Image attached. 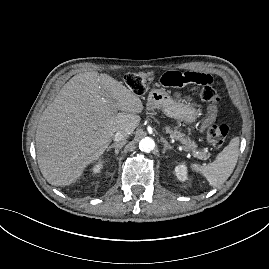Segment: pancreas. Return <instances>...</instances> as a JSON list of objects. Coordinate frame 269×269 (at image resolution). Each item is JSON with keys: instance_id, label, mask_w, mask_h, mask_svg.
<instances>
[{"instance_id": "obj_1", "label": "pancreas", "mask_w": 269, "mask_h": 269, "mask_svg": "<svg viewBox=\"0 0 269 269\" xmlns=\"http://www.w3.org/2000/svg\"><path fill=\"white\" fill-rule=\"evenodd\" d=\"M167 133L171 135V137L175 139L181 140L185 144V148L193 154L194 157L200 159V160H207L208 154L206 150H199L197 149L196 143L191 141L190 139H185L184 135L180 133L179 131H173L169 128L166 130Z\"/></svg>"}]
</instances>
